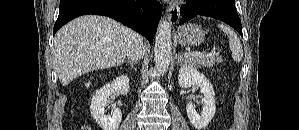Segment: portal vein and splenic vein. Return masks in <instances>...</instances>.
<instances>
[{"mask_svg": "<svg viewBox=\"0 0 299 130\" xmlns=\"http://www.w3.org/2000/svg\"><path fill=\"white\" fill-rule=\"evenodd\" d=\"M215 55H216L215 50H212L208 54H204L202 52H186V53H184L185 57H202V56H215Z\"/></svg>", "mask_w": 299, "mask_h": 130, "instance_id": "portal-vein-and-splenic-vein-1", "label": "portal vein and splenic vein"}]
</instances>
